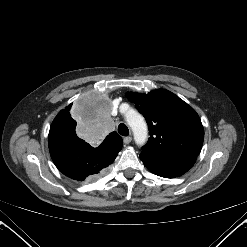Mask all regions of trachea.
Wrapping results in <instances>:
<instances>
[{
    "instance_id": "obj_1",
    "label": "trachea",
    "mask_w": 247,
    "mask_h": 247,
    "mask_svg": "<svg viewBox=\"0 0 247 247\" xmlns=\"http://www.w3.org/2000/svg\"><path fill=\"white\" fill-rule=\"evenodd\" d=\"M118 133L122 136H128L129 135V129L125 124L121 123L118 126Z\"/></svg>"
}]
</instances>
